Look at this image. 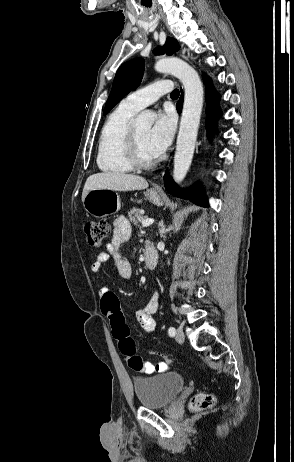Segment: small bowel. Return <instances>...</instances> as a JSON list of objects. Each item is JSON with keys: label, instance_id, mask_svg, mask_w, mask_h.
Masks as SVG:
<instances>
[{"label": "small bowel", "instance_id": "small-bowel-1", "mask_svg": "<svg viewBox=\"0 0 294 462\" xmlns=\"http://www.w3.org/2000/svg\"><path fill=\"white\" fill-rule=\"evenodd\" d=\"M131 235V227L129 222L124 217H119L114 223V234L112 241L107 244L106 252H101L97 255L95 261L91 265L93 273H99L103 264L109 259H114L117 271L121 278L130 279L133 274L130 262L122 255L121 247L128 241ZM110 291L109 287L104 286L99 290L101 297ZM160 296L155 293L142 307L136 312V318L142 329L147 333H152L156 328V321L153 317L159 308ZM169 363L167 360H162L157 363L142 360L140 369H133L139 373L153 374L167 371Z\"/></svg>", "mask_w": 294, "mask_h": 462}]
</instances>
